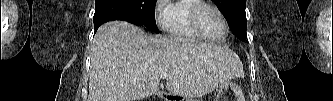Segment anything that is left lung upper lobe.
Listing matches in <instances>:
<instances>
[{"mask_svg": "<svg viewBox=\"0 0 333 101\" xmlns=\"http://www.w3.org/2000/svg\"><path fill=\"white\" fill-rule=\"evenodd\" d=\"M221 13L226 18L232 33L241 41L246 35V0H213Z\"/></svg>", "mask_w": 333, "mask_h": 101, "instance_id": "left-lung-upper-lobe-1", "label": "left lung upper lobe"}]
</instances>
